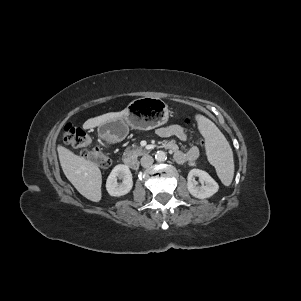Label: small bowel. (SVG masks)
Instances as JSON below:
<instances>
[{
  "label": "small bowel",
  "mask_w": 301,
  "mask_h": 301,
  "mask_svg": "<svg viewBox=\"0 0 301 301\" xmlns=\"http://www.w3.org/2000/svg\"><path fill=\"white\" fill-rule=\"evenodd\" d=\"M157 134L162 138L176 137L183 142L187 140L186 131L179 125L160 127L157 129ZM167 147L180 164H192L199 156V148L196 145H191L186 151H182L174 142L168 141Z\"/></svg>",
  "instance_id": "1"
}]
</instances>
